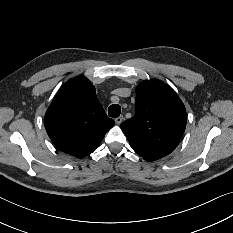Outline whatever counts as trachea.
Listing matches in <instances>:
<instances>
[{
    "mask_svg": "<svg viewBox=\"0 0 233 233\" xmlns=\"http://www.w3.org/2000/svg\"><path fill=\"white\" fill-rule=\"evenodd\" d=\"M120 113H121V108L118 104H112L109 106L108 114L110 117L112 118L119 117Z\"/></svg>",
    "mask_w": 233,
    "mask_h": 233,
    "instance_id": "trachea-1",
    "label": "trachea"
}]
</instances>
